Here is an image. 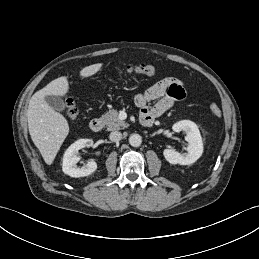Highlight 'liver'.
Masks as SVG:
<instances>
[{
    "label": "liver",
    "instance_id": "obj_1",
    "mask_svg": "<svg viewBox=\"0 0 259 259\" xmlns=\"http://www.w3.org/2000/svg\"><path fill=\"white\" fill-rule=\"evenodd\" d=\"M102 63L83 68L80 76L83 78L96 74ZM69 90V82L65 76L59 77L31 97L28 110V128L31 139L40 151L46 164L51 165L69 133L66 118L52 109L46 102L49 95L64 96Z\"/></svg>",
    "mask_w": 259,
    "mask_h": 259
}]
</instances>
